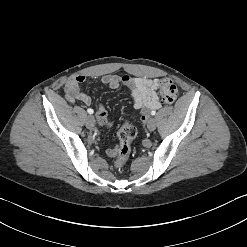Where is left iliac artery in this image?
<instances>
[{
  "label": "left iliac artery",
  "instance_id": "left-iliac-artery-1",
  "mask_svg": "<svg viewBox=\"0 0 247 247\" xmlns=\"http://www.w3.org/2000/svg\"><path fill=\"white\" fill-rule=\"evenodd\" d=\"M155 114H156V111L153 110V111L151 112V115H155Z\"/></svg>",
  "mask_w": 247,
  "mask_h": 247
}]
</instances>
